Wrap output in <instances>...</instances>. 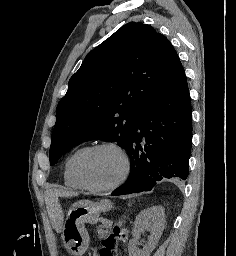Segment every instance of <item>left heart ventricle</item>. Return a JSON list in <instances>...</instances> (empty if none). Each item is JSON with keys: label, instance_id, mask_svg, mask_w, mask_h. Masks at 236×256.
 Listing matches in <instances>:
<instances>
[{"label": "left heart ventricle", "instance_id": "b2bd125f", "mask_svg": "<svg viewBox=\"0 0 236 256\" xmlns=\"http://www.w3.org/2000/svg\"><path fill=\"white\" fill-rule=\"evenodd\" d=\"M123 171L121 155L114 149H101L90 155L84 166V175L93 187H106L115 183Z\"/></svg>", "mask_w": 236, "mask_h": 256}]
</instances>
